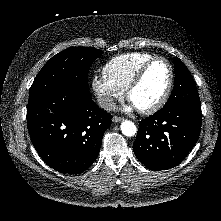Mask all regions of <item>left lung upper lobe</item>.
I'll return each instance as SVG.
<instances>
[{
    "label": "left lung upper lobe",
    "instance_id": "5c2ea615",
    "mask_svg": "<svg viewBox=\"0 0 221 221\" xmlns=\"http://www.w3.org/2000/svg\"><path fill=\"white\" fill-rule=\"evenodd\" d=\"M174 64L175 84L172 94L164 107L178 104L201 107L200 98L189 70L177 57H174Z\"/></svg>",
    "mask_w": 221,
    "mask_h": 221
}]
</instances>
